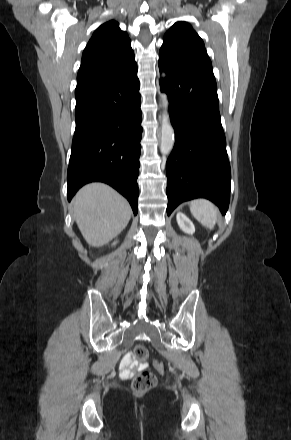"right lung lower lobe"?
Instances as JSON below:
<instances>
[{"mask_svg": "<svg viewBox=\"0 0 291 440\" xmlns=\"http://www.w3.org/2000/svg\"><path fill=\"white\" fill-rule=\"evenodd\" d=\"M137 69L118 78L75 89L76 128L67 173L68 200L84 184H109L138 212L142 138Z\"/></svg>", "mask_w": 291, "mask_h": 440, "instance_id": "1", "label": "right lung lower lobe"}]
</instances>
